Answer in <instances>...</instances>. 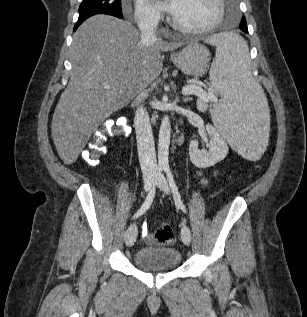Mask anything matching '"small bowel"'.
I'll return each mask as SVG.
<instances>
[{
    "label": "small bowel",
    "mask_w": 307,
    "mask_h": 317,
    "mask_svg": "<svg viewBox=\"0 0 307 317\" xmlns=\"http://www.w3.org/2000/svg\"><path fill=\"white\" fill-rule=\"evenodd\" d=\"M203 181H205V180H203ZM142 235L145 238H147L149 236L148 231H147V227L145 224L142 226Z\"/></svg>",
    "instance_id": "1"
}]
</instances>
